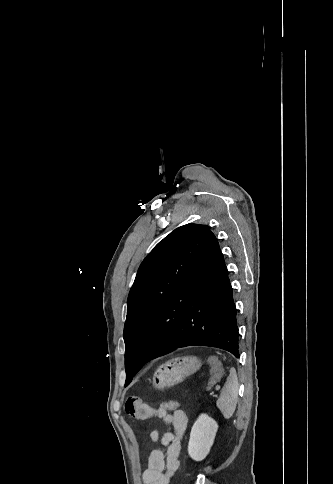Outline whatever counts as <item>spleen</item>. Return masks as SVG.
Segmentation results:
<instances>
[{
	"label": "spleen",
	"mask_w": 333,
	"mask_h": 484,
	"mask_svg": "<svg viewBox=\"0 0 333 484\" xmlns=\"http://www.w3.org/2000/svg\"><path fill=\"white\" fill-rule=\"evenodd\" d=\"M213 384V382L211 383ZM238 399V378L234 368L230 370V374L224 387L221 390L220 397L216 402V406L221 411L225 419H230L236 409Z\"/></svg>",
	"instance_id": "spleen-1"
}]
</instances>
